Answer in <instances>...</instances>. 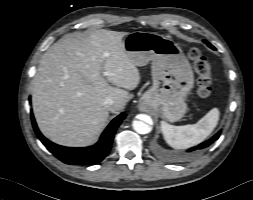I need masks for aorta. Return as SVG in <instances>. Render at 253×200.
I'll return each mask as SVG.
<instances>
[{"label": "aorta", "instance_id": "aorta-1", "mask_svg": "<svg viewBox=\"0 0 253 200\" xmlns=\"http://www.w3.org/2000/svg\"><path fill=\"white\" fill-rule=\"evenodd\" d=\"M133 129L139 134H148L152 130L150 125L138 120L133 121Z\"/></svg>", "mask_w": 253, "mask_h": 200}]
</instances>
